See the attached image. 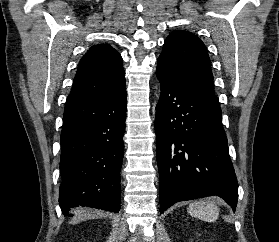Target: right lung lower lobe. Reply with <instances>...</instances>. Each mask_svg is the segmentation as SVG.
<instances>
[{
  "label": "right lung lower lobe",
  "mask_w": 279,
  "mask_h": 242,
  "mask_svg": "<svg viewBox=\"0 0 279 242\" xmlns=\"http://www.w3.org/2000/svg\"><path fill=\"white\" fill-rule=\"evenodd\" d=\"M126 119L125 86L99 99L65 105L61 132L59 204L118 212Z\"/></svg>",
  "instance_id": "obj_1"
}]
</instances>
